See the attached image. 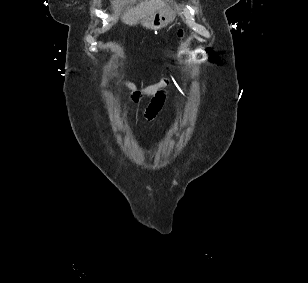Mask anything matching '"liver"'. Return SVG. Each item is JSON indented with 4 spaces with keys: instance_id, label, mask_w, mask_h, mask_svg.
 I'll list each match as a JSON object with an SVG mask.
<instances>
[{
    "instance_id": "1",
    "label": "liver",
    "mask_w": 308,
    "mask_h": 283,
    "mask_svg": "<svg viewBox=\"0 0 308 283\" xmlns=\"http://www.w3.org/2000/svg\"><path fill=\"white\" fill-rule=\"evenodd\" d=\"M169 0H142L136 7L126 11L122 16V21L125 24H132L144 17L151 16L157 11L165 7H169ZM121 1L116 0L115 3L119 4Z\"/></svg>"
}]
</instances>
